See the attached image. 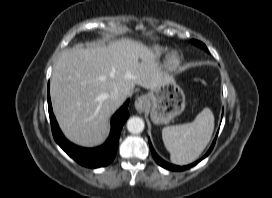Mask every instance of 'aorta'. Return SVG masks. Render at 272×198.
Instances as JSON below:
<instances>
[{"instance_id":"aorta-1","label":"aorta","mask_w":272,"mask_h":198,"mask_svg":"<svg viewBox=\"0 0 272 198\" xmlns=\"http://www.w3.org/2000/svg\"><path fill=\"white\" fill-rule=\"evenodd\" d=\"M127 129L133 134L141 133L144 130V121L140 117H132L127 121Z\"/></svg>"}]
</instances>
